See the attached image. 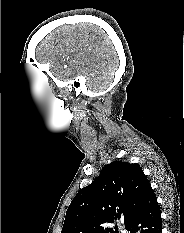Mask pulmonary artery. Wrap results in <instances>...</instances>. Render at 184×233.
<instances>
[{"label":"pulmonary artery","instance_id":"e3ab8cb5","mask_svg":"<svg viewBox=\"0 0 184 233\" xmlns=\"http://www.w3.org/2000/svg\"><path fill=\"white\" fill-rule=\"evenodd\" d=\"M121 233H128V231L126 229H122Z\"/></svg>","mask_w":184,"mask_h":233}]
</instances>
